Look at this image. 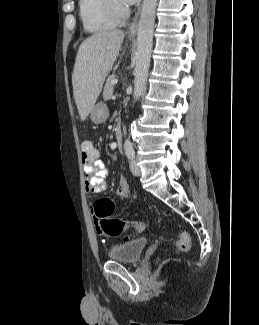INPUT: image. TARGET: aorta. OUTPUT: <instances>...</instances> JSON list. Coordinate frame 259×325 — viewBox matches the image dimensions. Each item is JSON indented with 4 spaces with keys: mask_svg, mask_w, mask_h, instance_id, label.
Here are the masks:
<instances>
[{
    "mask_svg": "<svg viewBox=\"0 0 259 325\" xmlns=\"http://www.w3.org/2000/svg\"><path fill=\"white\" fill-rule=\"evenodd\" d=\"M157 0H144L137 30L136 66L134 69L135 81L133 98L138 100L143 93L148 77L153 32L156 15ZM126 147L130 146L127 140Z\"/></svg>",
    "mask_w": 259,
    "mask_h": 325,
    "instance_id": "aorta-1",
    "label": "aorta"
}]
</instances>
